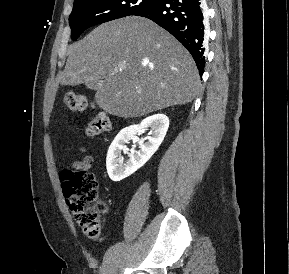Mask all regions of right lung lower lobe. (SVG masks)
I'll return each mask as SVG.
<instances>
[{
    "mask_svg": "<svg viewBox=\"0 0 289 274\" xmlns=\"http://www.w3.org/2000/svg\"><path fill=\"white\" fill-rule=\"evenodd\" d=\"M203 12V0H155L135 15L151 19L176 37L190 52L202 76L205 65Z\"/></svg>",
    "mask_w": 289,
    "mask_h": 274,
    "instance_id": "98d812e1",
    "label": "right lung lower lobe"
}]
</instances>
